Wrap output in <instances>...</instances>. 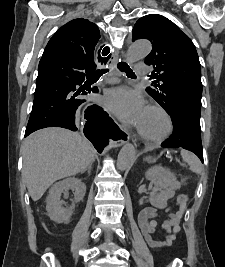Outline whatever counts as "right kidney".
Wrapping results in <instances>:
<instances>
[{"instance_id":"obj_1","label":"right kidney","mask_w":225,"mask_h":267,"mask_svg":"<svg viewBox=\"0 0 225 267\" xmlns=\"http://www.w3.org/2000/svg\"><path fill=\"white\" fill-rule=\"evenodd\" d=\"M74 190V202L81 201L86 192V185L80 179L71 177L55 183L49 190L46 210L51 220L57 223H68L74 208V203L69 208H63L61 194L68 190Z\"/></svg>"}]
</instances>
